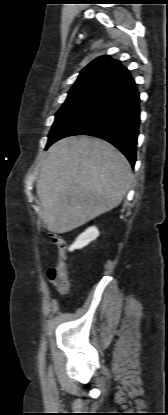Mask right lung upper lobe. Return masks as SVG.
Returning a JSON list of instances; mask_svg holds the SVG:
<instances>
[{"label": "right lung upper lobe", "mask_w": 168, "mask_h": 415, "mask_svg": "<svg viewBox=\"0 0 168 415\" xmlns=\"http://www.w3.org/2000/svg\"><path fill=\"white\" fill-rule=\"evenodd\" d=\"M127 75H129V71L118 60L109 56H101L81 71L69 94L78 92L102 93Z\"/></svg>", "instance_id": "1"}]
</instances>
